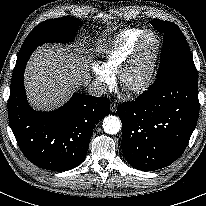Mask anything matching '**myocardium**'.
Listing matches in <instances>:
<instances>
[{
    "label": "myocardium",
    "instance_id": "1",
    "mask_svg": "<svg viewBox=\"0 0 206 206\" xmlns=\"http://www.w3.org/2000/svg\"><path fill=\"white\" fill-rule=\"evenodd\" d=\"M149 38H152L154 41L153 54L151 56L148 68L145 74L136 82L129 83L128 76L137 62L140 60L141 53L144 49V46ZM161 53V40L159 36L153 31H145L139 38L133 52L131 55L124 61L121 67L118 70V78L120 85L124 90L130 94H139L145 91L150 84L152 83L156 69L159 62V57Z\"/></svg>",
    "mask_w": 206,
    "mask_h": 206
}]
</instances>
